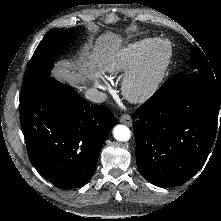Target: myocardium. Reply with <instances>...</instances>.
<instances>
[{
	"instance_id": "1",
	"label": "myocardium",
	"mask_w": 221,
	"mask_h": 221,
	"mask_svg": "<svg viewBox=\"0 0 221 221\" xmlns=\"http://www.w3.org/2000/svg\"><path fill=\"white\" fill-rule=\"evenodd\" d=\"M172 58V47L166 40H156L143 61L126 76L122 90L127 99L140 103L159 89Z\"/></svg>"
}]
</instances>
